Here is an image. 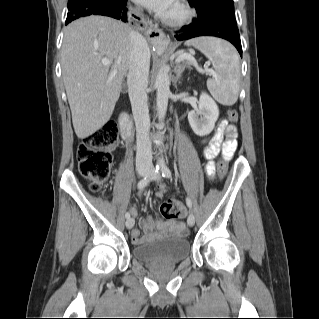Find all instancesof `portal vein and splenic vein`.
I'll return each mask as SVG.
<instances>
[{
    "label": "portal vein and splenic vein",
    "instance_id": "obj_1",
    "mask_svg": "<svg viewBox=\"0 0 319 319\" xmlns=\"http://www.w3.org/2000/svg\"><path fill=\"white\" fill-rule=\"evenodd\" d=\"M184 60H189V61L194 62L196 69H197L200 73H206V74H208V75H212V74H213V72H212L210 69H205V70H203V69H201L200 67H198V65H197V63H196V61H195V58H194L191 54H186V53H184V54L178 56V58L176 59V62L179 63V62L184 61ZM101 63H102L103 65H111V64H112V61H111L110 59H108V58H102V59H101ZM117 64H119V62H117Z\"/></svg>",
    "mask_w": 319,
    "mask_h": 319
}]
</instances>
